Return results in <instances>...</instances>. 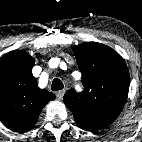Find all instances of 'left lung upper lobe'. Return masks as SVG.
I'll return each instance as SVG.
<instances>
[{"mask_svg":"<svg viewBox=\"0 0 142 142\" xmlns=\"http://www.w3.org/2000/svg\"><path fill=\"white\" fill-rule=\"evenodd\" d=\"M73 51L84 90H68L64 103L80 128L94 132L109 126L121 112L129 91V71L122 57L104 44L85 42L73 46Z\"/></svg>","mask_w":142,"mask_h":142,"instance_id":"obj_1","label":"left lung upper lobe"}]
</instances>
